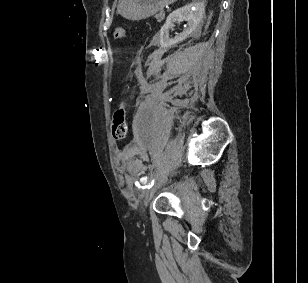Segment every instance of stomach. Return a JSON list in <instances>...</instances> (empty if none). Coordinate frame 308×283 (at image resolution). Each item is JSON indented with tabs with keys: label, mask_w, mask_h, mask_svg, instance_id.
I'll list each match as a JSON object with an SVG mask.
<instances>
[{
	"label": "stomach",
	"mask_w": 308,
	"mask_h": 283,
	"mask_svg": "<svg viewBox=\"0 0 308 283\" xmlns=\"http://www.w3.org/2000/svg\"><path fill=\"white\" fill-rule=\"evenodd\" d=\"M175 1L176 0H119L117 12L126 19L139 21L156 14L166 5H170Z\"/></svg>",
	"instance_id": "obj_1"
}]
</instances>
